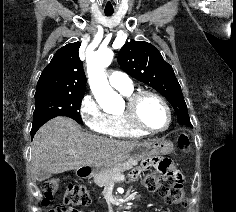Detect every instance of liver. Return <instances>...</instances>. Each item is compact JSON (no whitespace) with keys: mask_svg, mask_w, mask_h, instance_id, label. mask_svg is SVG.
I'll list each match as a JSON object with an SVG mask.
<instances>
[{"mask_svg":"<svg viewBox=\"0 0 236 212\" xmlns=\"http://www.w3.org/2000/svg\"><path fill=\"white\" fill-rule=\"evenodd\" d=\"M140 143L92 135L84 132L71 118L56 117L44 124L34 136L32 174L37 179L39 170L58 174L96 166L111 157L127 153ZM69 150H75L76 154H67Z\"/></svg>","mask_w":236,"mask_h":212,"instance_id":"6515ba94","label":"liver"}]
</instances>
